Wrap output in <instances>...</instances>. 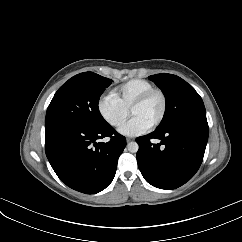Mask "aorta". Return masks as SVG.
<instances>
[{
	"label": "aorta",
	"mask_w": 242,
	"mask_h": 242,
	"mask_svg": "<svg viewBox=\"0 0 242 242\" xmlns=\"http://www.w3.org/2000/svg\"><path fill=\"white\" fill-rule=\"evenodd\" d=\"M127 149L131 153H136L139 149V146H138L137 142H130L127 145Z\"/></svg>",
	"instance_id": "762f6f07"
}]
</instances>
